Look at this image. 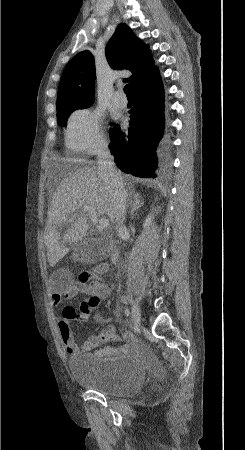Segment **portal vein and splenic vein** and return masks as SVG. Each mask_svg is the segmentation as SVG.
Returning <instances> with one entry per match:
<instances>
[{
    "instance_id": "portal-vein-and-splenic-vein-1",
    "label": "portal vein and splenic vein",
    "mask_w": 245,
    "mask_h": 450,
    "mask_svg": "<svg viewBox=\"0 0 245 450\" xmlns=\"http://www.w3.org/2000/svg\"><path fill=\"white\" fill-rule=\"evenodd\" d=\"M83 211L95 222V223H97V214H96V212L93 210V208H91V207H88V206H85L84 208H83ZM68 222H70V223H72L73 222V218H70L69 220H68ZM108 226H109V221H108V219H106V218H101L100 220H99V225H98V227L100 228V229H105V228H108Z\"/></svg>"
}]
</instances>
